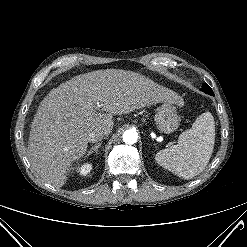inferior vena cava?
I'll return each instance as SVG.
<instances>
[{"mask_svg": "<svg viewBox=\"0 0 247 247\" xmlns=\"http://www.w3.org/2000/svg\"><path fill=\"white\" fill-rule=\"evenodd\" d=\"M104 136H105V132L103 130L98 129V130L91 132L88 135L87 139L91 143H96V142L101 141Z\"/></svg>", "mask_w": 247, "mask_h": 247, "instance_id": "602c4592", "label": "inferior vena cava"}]
</instances>
